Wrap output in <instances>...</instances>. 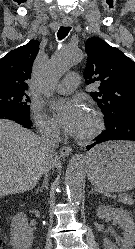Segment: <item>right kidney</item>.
<instances>
[{
	"mask_svg": "<svg viewBox=\"0 0 135 249\" xmlns=\"http://www.w3.org/2000/svg\"><path fill=\"white\" fill-rule=\"evenodd\" d=\"M10 241L13 249H29L33 241V230L24 213H18L11 222Z\"/></svg>",
	"mask_w": 135,
	"mask_h": 249,
	"instance_id": "right-kidney-1",
	"label": "right kidney"
}]
</instances>
